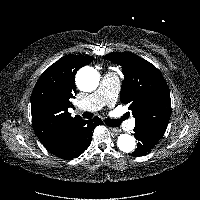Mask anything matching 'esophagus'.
<instances>
[{
	"mask_svg": "<svg viewBox=\"0 0 200 200\" xmlns=\"http://www.w3.org/2000/svg\"><path fill=\"white\" fill-rule=\"evenodd\" d=\"M109 129H110V131H111L112 133H114V134H117V133L120 132V130H119L118 128H112V127H110Z\"/></svg>",
	"mask_w": 200,
	"mask_h": 200,
	"instance_id": "obj_1",
	"label": "esophagus"
}]
</instances>
